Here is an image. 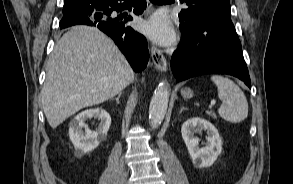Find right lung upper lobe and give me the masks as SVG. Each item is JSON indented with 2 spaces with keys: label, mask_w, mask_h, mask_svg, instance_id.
Returning <instances> with one entry per match:
<instances>
[{
  "label": "right lung upper lobe",
  "mask_w": 293,
  "mask_h": 184,
  "mask_svg": "<svg viewBox=\"0 0 293 184\" xmlns=\"http://www.w3.org/2000/svg\"><path fill=\"white\" fill-rule=\"evenodd\" d=\"M101 0H64L63 16L88 7L91 4H97Z\"/></svg>",
  "instance_id": "obj_1"
}]
</instances>
